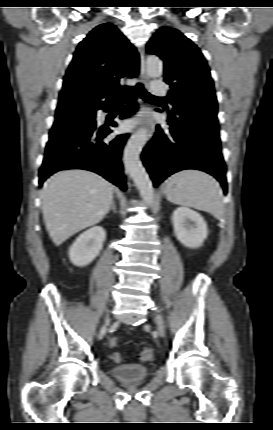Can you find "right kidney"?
<instances>
[{
	"mask_svg": "<svg viewBox=\"0 0 273 430\" xmlns=\"http://www.w3.org/2000/svg\"><path fill=\"white\" fill-rule=\"evenodd\" d=\"M106 232L101 226H94L82 233L69 249L70 261L78 267L90 264L100 253Z\"/></svg>",
	"mask_w": 273,
	"mask_h": 430,
	"instance_id": "1",
	"label": "right kidney"
}]
</instances>
